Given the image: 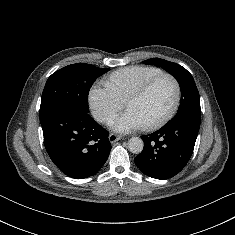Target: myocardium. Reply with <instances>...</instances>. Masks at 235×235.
<instances>
[{"mask_svg":"<svg viewBox=\"0 0 235 235\" xmlns=\"http://www.w3.org/2000/svg\"><path fill=\"white\" fill-rule=\"evenodd\" d=\"M162 79H168L170 80L175 88V97H174V101L172 106L170 107V109L168 110V112L163 115L161 118H159L158 120L143 125V129L145 130H154L157 129L159 127H161L162 125H164L165 123H167L176 113L179 104H180V100H181V86L180 83L178 82V80L172 76L171 74L168 73H162L159 74L153 78H151L150 80H148L146 83H144L140 88H138L136 91H134L125 101V106L128 107V105L137 99L142 98L143 96H145L150 89L160 80Z\"/></svg>","mask_w":235,"mask_h":235,"instance_id":"f54148a6","label":"myocardium"}]
</instances>
